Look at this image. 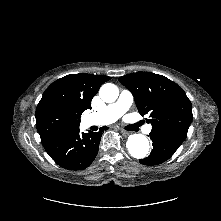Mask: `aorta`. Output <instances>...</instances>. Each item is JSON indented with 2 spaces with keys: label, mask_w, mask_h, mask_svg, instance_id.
Masks as SVG:
<instances>
[{
  "label": "aorta",
  "mask_w": 221,
  "mask_h": 221,
  "mask_svg": "<svg viewBox=\"0 0 221 221\" xmlns=\"http://www.w3.org/2000/svg\"><path fill=\"white\" fill-rule=\"evenodd\" d=\"M100 98L106 103L116 101L119 96V90L116 85L112 83L103 84L99 90ZM126 147L130 155L134 158H144L149 154V141L142 134H133L128 137Z\"/></svg>",
  "instance_id": "aorta-1"
}]
</instances>
